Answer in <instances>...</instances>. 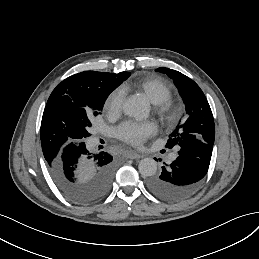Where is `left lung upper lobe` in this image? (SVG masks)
Returning <instances> with one entry per match:
<instances>
[{
    "instance_id": "1",
    "label": "left lung upper lobe",
    "mask_w": 259,
    "mask_h": 259,
    "mask_svg": "<svg viewBox=\"0 0 259 259\" xmlns=\"http://www.w3.org/2000/svg\"><path fill=\"white\" fill-rule=\"evenodd\" d=\"M157 71L167 74L173 79L174 84L181 95L188 119L185 123L180 124L171 133L167 141V148H178L191 139H199L208 144H214L215 127L211 108L209 103L200 89V87L189 77L184 74L160 67Z\"/></svg>"
}]
</instances>
